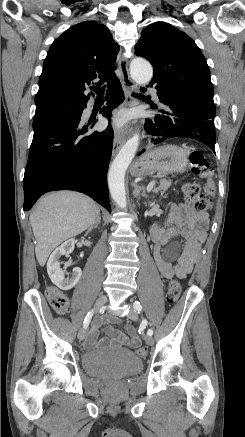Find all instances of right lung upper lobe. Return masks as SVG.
<instances>
[{
    "mask_svg": "<svg viewBox=\"0 0 245 437\" xmlns=\"http://www.w3.org/2000/svg\"><path fill=\"white\" fill-rule=\"evenodd\" d=\"M119 46L109 29L86 21L66 30L47 53L35 96L36 110L59 104L84 105L86 87L95 79L110 87L119 82L113 69Z\"/></svg>",
    "mask_w": 245,
    "mask_h": 437,
    "instance_id": "right-lung-upper-lobe-1",
    "label": "right lung upper lobe"
}]
</instances>
